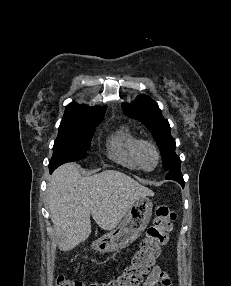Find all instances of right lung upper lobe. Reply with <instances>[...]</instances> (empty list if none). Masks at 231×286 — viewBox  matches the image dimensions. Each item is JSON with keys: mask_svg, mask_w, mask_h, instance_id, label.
<instances>
[{"mask_svg": "<svg viewBox=\"0 0 231 286\" xmlns=\"http://www.w3.org/2000/svg\"><path fill=\"white\" fill-rule=\"evenodd\" d=\"M105 112V108H90L85 105H78L76 103H70L67 105L65 109V116H95V115H103Z\"/></svg>", "mask_w": 231, "mask_h": 286, "instance_id": "right-lung-upper-lobe-1", "label": "right lung upper lobe"}]
</instances>
